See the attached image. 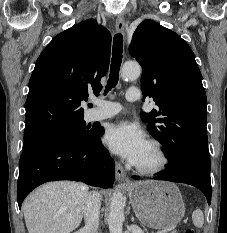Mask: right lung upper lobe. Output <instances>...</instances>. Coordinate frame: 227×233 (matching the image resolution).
<instances>
[{
  "mask_svg": "<svg viewBox=\"0 0 227 233\" xmlns=\"http://www.w3.org/2000/svg\"><path fill=\"white\" fill-rule=\"evenodd\" d=\"M111 34L95 20L72 26L40 54L29 81L24 135L39 133L83 117L81 101L102 89Z\"/></svg>",
  "mask_w": 227,
  "mask_h": 233,
  "instance_id": "cb5924a9",
  "label": "right lung upper lobe"
}]
</instances>
